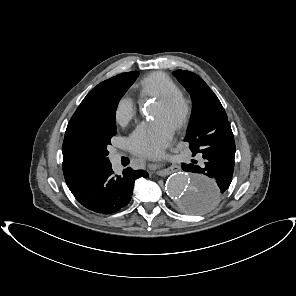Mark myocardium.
<instances>
[{
	"mask_svg": "<svg viewBox=\"0 0 296 296\" xmlns=\"http://www.w3.org/2000/svg\"><path fill=\"white\" fill-rule=\"evenodd\" d=\"M157 102L165 107L174 108L178 111L173 126L175 130H180L188 124L192 114V105L191 101L183 93L176 92L163 95L157 98Z\"/></svg>",
	"mask_w": 296,
	"mask_h": 296,
	"instance_id": "myocardium-1",
	"label": "myocardium"
}]
</instances>
